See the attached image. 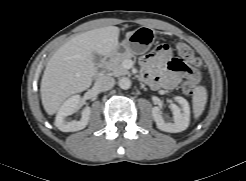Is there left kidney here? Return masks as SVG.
<instances>
[{
	"label": "left kidney",
	"mask_w": 246,
	"mask_h": 181,
	"mask_svg": "<svg viewBox=\"0 0 246 181\" xmlns=\"http://www.w3.org/2000/svg\"><path fill=\"white\" fill-rule=\"evenodd\" d=\"M174 100L180 104H171L170 108L173 114V122L167 121L159 107L152 108V115L157 128L161 131L177 133L187 129L190 123V107L186 99L180 96L174 97Z\"/></svg>",
	"instance_id": "5707ae66"
}]
</instances>
